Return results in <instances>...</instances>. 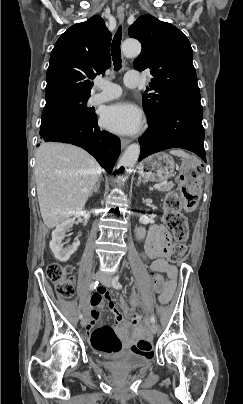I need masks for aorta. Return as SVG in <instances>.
<instances>
[{
    "instance_id": "aorta-1",
    "label": "aorta",
    "mask_w": 243,
    "mask_h": 404,
    "mask_svg": "<svg viewBox=\"0 0 243 404\" xmlns=\"http://www.w3.org/2000/svg\"><path fill=\"white\" fill-rule=\"evenodd\" d=\"M121 52H123L125 58H136L141 52V44L138 40H125L121 46ZM140 154L139 144H131L126 148L120 161L117 163V181L119 183H126L128 181V170L134 168L136 162H138Z\"/></svg>"
}]
</instances>
